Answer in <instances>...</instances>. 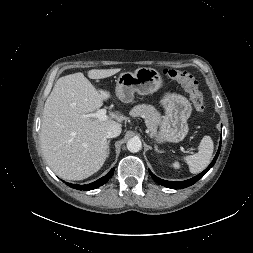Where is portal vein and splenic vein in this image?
<instances>
[{
    "label": "portal vein and splenic vein",
    "mask_w": 253,
    "mask_h": 253,
    "mask_svg": "<svg viewBox=\"0 0 253 253\" xmlns=\"http://www.w3.org/2000/svg\"><path fill=\"white\" fill-rule=\"evenodd\" d=\"M106 114H107V110L103 108V109H99L95 113L86 114L84 116L87 117V118H96L98 120L104 121V120L107 119V115Z\"/></svg>",
    "instance_id": "1"
}]
</instances>
